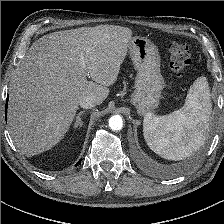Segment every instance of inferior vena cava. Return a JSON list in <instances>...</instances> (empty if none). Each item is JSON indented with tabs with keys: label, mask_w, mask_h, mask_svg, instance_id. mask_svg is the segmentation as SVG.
<instances>
[{
	"label": "inferior vena cava",
	"mask_w": 224,
	"mask_h": 224,
	"mask_svg": "<svg viewBox=\"0 0 224 224\" xmlns=\"http://www.w3.org/2000/svg\"><path fill=\"white\" fill-rule=\"evenodd\" d=\"M79 105L84 109H91L97 105L96 99L92 96H84L79 100Z\"/></svg>",
	"instance_id": "1"
}]
</instances>
